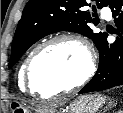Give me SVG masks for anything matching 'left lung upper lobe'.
Masks as SVG:
<instances>
[{
  "instance_id": "1",
  "label": "left lung upper lobe",
  "mask_w": 123,
  "mask_h": 113,
  "mask_svg": "<svg viewBox=\"0 0 123 113\" xmlns=\"http://www.w3.org/2000/svg\"><path fill=\"white\" fill-rule=\"evenodd\" d=\"M91 1L93 11H96V7L108 6L111 0ZM90 5L86 0H29L15 32L9 67L35 42L59 31L80 33L91 38L98 47L107 34L93 32L91 26L97 24L92 18L95 15L86 10Z\"/></svg>"
}]
</instances>
